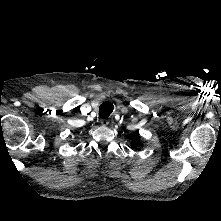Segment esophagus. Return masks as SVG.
Instances as JSON below:
<instances>
[{
  "instance_id": "1",
  "label": "esophagus",
  "mask_w": 221,
  "mask_h": 221,
  "mask_svg": "<svg viewBox=\"0 0 221 221\" xmlns=\"http://www.w3.org/2000/svg\"><path fill=\"white\" fill-rule=\"evenodd\" d=\"M100 123L102 126H107L109 124V120L108 119H101Z\"/></svg>"
}]
</instances>
